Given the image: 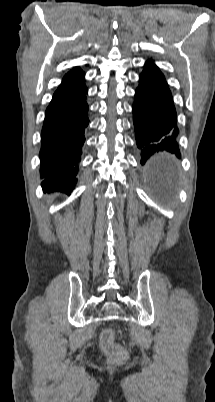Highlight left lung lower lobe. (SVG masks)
I'll list each match as a JSON object with an SVG mask.
<instances>
[{
	"label": "left lung lower lobe",
	"instance_id": "obj_1",
	"mask_svg": "<svg viewBox=\"0 0 215 402\" xmlns=\"http://www.w3.org/2000/svg\"><path fill=\"white\" fill-rule=\"evenodd\" d=\"M133 122L142 165L161 152H170L180 158L177 114L172 95L164 75L152 60L145 63L139 77ZM149 172L160 174L155 166H149Z\"/></svg>",
	"mask_w": 215,
	"mask_h": 402
}]
</instances>
